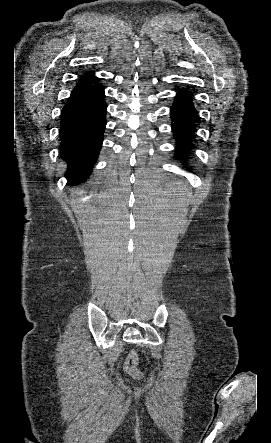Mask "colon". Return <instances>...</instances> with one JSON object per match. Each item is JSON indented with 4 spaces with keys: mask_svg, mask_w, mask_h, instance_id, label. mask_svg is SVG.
Listing matches in <instances>:
<instances>
[{
    "mask_svg": "<svg viewBox=\"0 0 271 443\" xmlns=\"http://www.w3.org/2000/svg\"><path fill=\"white\" fill-rule=\"evenodd\" d=\"M139 356L136 351H131L124 363V370L125 372L133 377V378H140L141 372L139 370Z\"/></svg>",
    "mask_w": 271,
    "mask_h": 443,
    "instance_id": "5ec220e1",
    "label": "colon"
}]
</instances>
